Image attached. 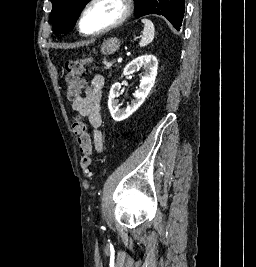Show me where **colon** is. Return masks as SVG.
<instances>
[{"label": "colon", "instance_id": "5ec220e1", "mask_svg": "<svg viewBox=\"0 0 256 267\" xmlns=\"http://www.w3.org/2000/svg\"><path fill=\"white\" fill-rule=\"evenodd\" d=\"M90 64V59H78L65 63L68 99L70 101L76 100L84 88L85 76ZM72 130L73 133L78 136V143L82 152V170L86 178L89 179L92 167V141L83 117L75 116L73 118Z\"/></svg>", "mask_w": 256, "mask_h": 267}]
</instances>
